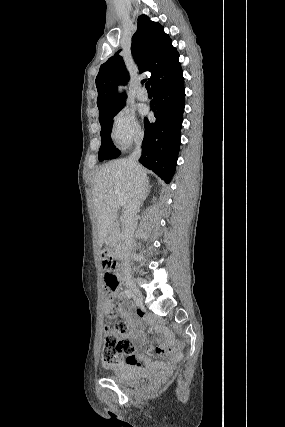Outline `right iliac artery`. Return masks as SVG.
I'll return each mask as SVG.
<instances>
[{
	"instance_id": "obj_1",
	"label": "right iliac artery",
	"mask_w": 285,
	"mask_h": 427,
	"mask_svg": "<svg viewBox=\"0 0 285 427\" xmlns=\"http://www.w3.org/2000/svg\"><path fill=\"white\" fill-rule=\"evenodd\" d=\"M124 295L127 299H131L132 298V294L130 293L129 290L125 289L124 290Z\"/></svg>"
}]
</instances>
